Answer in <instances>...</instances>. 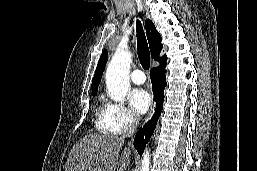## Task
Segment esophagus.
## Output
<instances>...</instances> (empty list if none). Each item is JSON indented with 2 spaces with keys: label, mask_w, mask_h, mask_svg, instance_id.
Here are the masks:
<instances>
[{
  "label": "esophagus",
  "mask_w": 257,
  "mask_h": 171,
  "mask_svg": "<svg viewBox=\"0 0 257 171\" xmlns=\"http://www.w3.org/2000/svg\"><path fill=\"white\" fill-rule=\"evenodd\" d=\"M155 102L152 104V107H151V109H150V112H149V114H148V116H147V118L145 119V121H144V124L153 116V114H154V112H155Z\"/></svg>",
  "instance_id": "1"
}]
</instances>
